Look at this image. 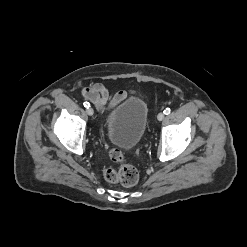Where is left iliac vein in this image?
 Instances as JSON below:
<instances>
[{
    "label": "left iliac vein",
    "instance_id": "left-iliac-vein-1",
    "mask_svg": "<svg viewBox=\"0 0 247 247\" xmlns=\"http://www.w3.org/2000/svg\"><path fill=\"white\" fill-rule=\"evenodd\" d=\"M157 119L159 121H162L164 119V114L162 112H160L158 115H157Z\"/></svg>",
    "mask_w": 247,
    "mask_h": 247
}]
</instances>
